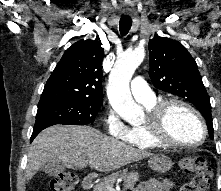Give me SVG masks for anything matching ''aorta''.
Segmentation results:
<instances>
[{
    "label": "aorta",
    "instance_id": "obj_1",
    "mask_svg": "<svg viewBox=\"0 0 221 191\" xmlns=\"http://www.w3.org/2000/svg\"><path fill=\"white\" fill-rule=\"evenodd\" d=\"M144 57L145 52L141 48L119 56L111 71L107 86V95L113 109L130 123L143 116L142 108L135 103L131 96L129 82Z\"/></svg>",
    "mask_w": 221,
    "mask_h": 191
}]
</instances>
